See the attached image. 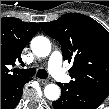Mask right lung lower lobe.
Here are the masks:
<instances>
[{"label":"right lung lower lobe","instance_id":"1","mask_svg":"<svg viewBox=\"0 0 109 109\" xmlns=\"http://www.w3.org/2000/svg\"><path fill=\"white\" fill-rule=\"evenodd\" d=\"M29 77H22L10 84L1 87V109H13L20 101L22 89Z\"/></svg>","mask_w":109,"mask_h":109}]
</instances>
